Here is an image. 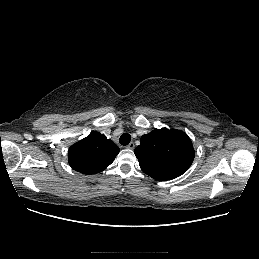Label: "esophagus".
<instances>
[{"label": "esophagus", "instance_id": "obj_1", "mask_svg": "<svg viewBox=\"0 0 259 259\" xmlns=\"http://www.w3.org/2000/svg\"><path fill=\"white\" fill-rule=\"evenodd\" d=\"M135 147V144L133 142L129 143L126 148L133 150Z\"/></svg>", "mask_w": 259, "mask_h": 259}]
</instances>
